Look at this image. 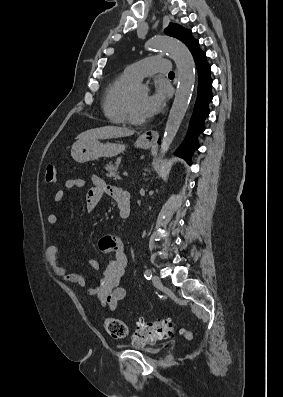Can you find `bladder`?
Returning <instances> with one entry per match:
<instances>
[{
  "label": "bladder",
  "instance_id": "bladder-1",
  "mask_svg": "<svg viewBox=\"0 0 283 397\" xmlns=\"http://www.w3.org/2000/svg\"><path fill=\"white\" fill-rule=\"evenodd\" d=\"M132 349L140 351L144 354H148V355H153L156 354L158 352V349L153 347V346H149L146 343L144 344H132L130 346Z\"/></svg>",
  "mask_w": 283,
  "mask_h": 397
}]
</instances>
